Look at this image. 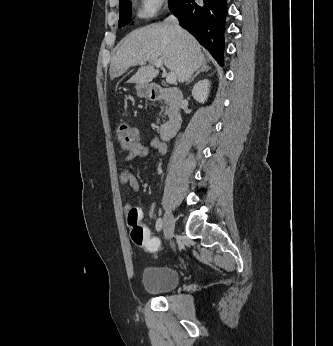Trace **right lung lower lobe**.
I'll use <instances>...</instances> for the list:
<instances>
[{
	"instance_id": "98d812e1",
	"label": "right lung lower lobe",
	"mask_w": 333,
	"mask_h": 346,
	"mask_svg": "<svg viewBox=\"0 0 333 346\" xmlns=\"http://www.w3.org/2000/svg\"><path fill=\"white\" fill-rule=\"evenodd\" d=\"M169 8L180 25L223 65L226 0H174Z\"/></svg>"
}]
</instances>
